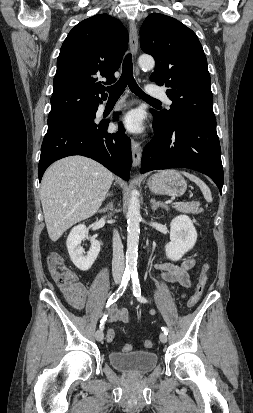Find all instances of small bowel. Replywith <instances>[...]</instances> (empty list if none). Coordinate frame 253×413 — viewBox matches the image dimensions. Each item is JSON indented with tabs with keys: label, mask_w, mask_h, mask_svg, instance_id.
Instances as JSON below:
<instances>
[{
	"label": "small bowel",
	"mask_w": 253,
	"mask_h": 413,
	"mask_svg": "<svg viewBox=\"0 0 253 413\" xmlns=\"http://www.w3.org/2000/svg\"><path fill=\"white\" fill-rule=\"evenodd\" d=\"M193 257L185 258L180 264L161 263L156 265L160 271L159 277L171 284H180L189 287L191 282L188 271L194 266ZM62 294L67 302L75 309L82 310L85 307L88 298V288L79 281L75 276L74 280L64 286H61ZM109 321H119L128 323L131 319L129 312L122 307L112 305L108 313Z\"/></svg>",
	"instance_id": "small-bowel-1"
}]
</instances>
